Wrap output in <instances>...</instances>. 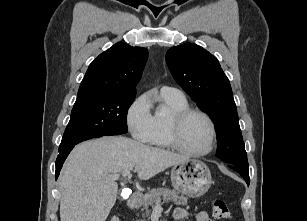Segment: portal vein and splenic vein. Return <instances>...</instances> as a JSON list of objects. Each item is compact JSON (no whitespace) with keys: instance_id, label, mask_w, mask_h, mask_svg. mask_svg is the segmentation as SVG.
<instances>
[{"instance_id":"obj_1","label":"portal vein and splenic vein","mask_w":307,"mask_h":221,"mask_svg":"<svg viewBox=\"0 0 307 221\" xmlns=\"http://www.w3.org/2000/svg\"><path fill=\"white\" fill-rule=\"evenodd\" d=\"M122 175H123L124 177L129 176V175H130V170H125V171H123V172H122ZM108 178L113 179V180H117V179L119 178V174H112V175H109ZM156 207H157V208H160V207H161L160 203H157V204H156Z\"/></svg>"}]
</instances>
